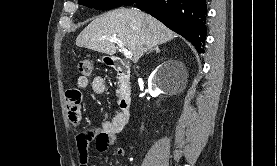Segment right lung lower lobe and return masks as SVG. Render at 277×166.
Listing matches in <instances>:
<instances>
[{
  "instance_id": "1",
  "label": "right lung lower lobe",
  "mask_w": 277,
  "mask_h": 166,
  "mask_svg": "<svg viewBox=\"0 0 277 166\" xmlns=\"http://www.w3.org/2000/svg\"><path fill=\"white\" fill-rule=\"evenodd\" d=\"M131 4L190 41L199 53H204L206 0H126L122 5Z\"/></svg>"
}]
</instances>
